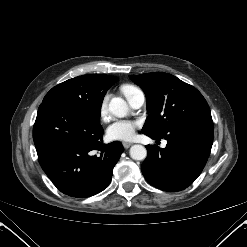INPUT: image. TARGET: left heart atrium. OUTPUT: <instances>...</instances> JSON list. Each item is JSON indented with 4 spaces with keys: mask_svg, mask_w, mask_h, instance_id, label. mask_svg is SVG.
Instances as JSON below:
<instances>
[{
    "mask_svg": "<svg viewBox=\"0 0 247 247\" xmlns=\"http://www.w3.org/2000/svg\"><path fill=\"white\" fill-rule=\"evenodd\" d=\"M138 122L132 120H117L107 128L110 140L128 141L134 136Z\"/></svg>",
    "mask_w": 247,
    "mask_h": 247,
    "instance_id": "obj_1",
    "label": "left heart atrium"
}]
</instances>
